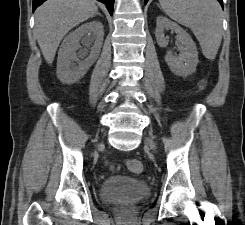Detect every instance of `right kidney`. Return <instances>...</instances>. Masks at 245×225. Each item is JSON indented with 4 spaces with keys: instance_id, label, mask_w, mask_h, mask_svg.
I'll return each instance as SVG.
<instances>
[{
    "instance_id": "obj_1",
    "label": "right kidney",
    "mask_w": 245,
    "mask_h": 225,
    "mask_svg": "<svg viewBox=\"0 0 245 225\" xmlns=\"http://www.w3.org/2000/svg\"><path fill=\"white\" fill-rule=\"evenodd\" d=\"M104 30L99 21H91L81 25L71 32L63 40L57 60V77L62 83L73 84L79 81L88 71L90 66L97 59L103 44ZM80 41L89 48L92 43L90 55H87V48L81 49Z\"/></svg>"
}]
</instances>
